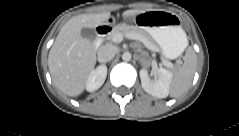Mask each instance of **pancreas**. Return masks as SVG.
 Here are the masks:
<instances>
[{
    "instance_id": "1",
    "label": "pancreas",
    "mask_w": 239,
    "mask_h": 136,
    "mask_svg": "<svg viewBox=\"0 0 239 136\" xmlns=\"http://www.w3.org/2000/svg\"><path fill=\"white\" fill-rule=\"evenodd\" d=\"M116 34H121L123 37L127 34H134V35H140L142 36L150 45V47L153 49V51H159L158 46L152 41V39L141 29L135 26H128L126 24H120L113 28L111 33L107 36L108 40H112L113 36ZM172 70L174 68H171Z\"/></svg>"
}]
</instances>
